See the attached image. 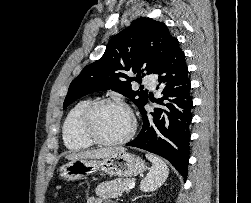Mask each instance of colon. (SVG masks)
<instances>
[{"label":"colon","mask_w":251,"mask_h":203,"mask_svg":"<svg viewBox=\"0 0 251 203\" xmlns=\"http://www.w3.org/2000/svg\"><path fill=\"white\" fill-rule=\"evenodd\" d=\"M59 203H66L65 201H60Z\"/></svg>","instance_id":"colon-1"}]
</instances>
